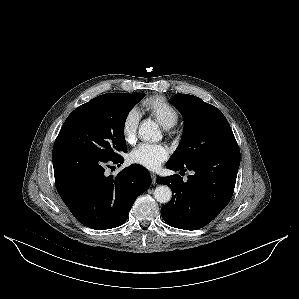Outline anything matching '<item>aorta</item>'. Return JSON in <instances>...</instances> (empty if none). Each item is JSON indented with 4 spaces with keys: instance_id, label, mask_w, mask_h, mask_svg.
Instances as JSON below:
<instances>
[{
    "instance_id": "obj_1",
    "label": "aorta",
    "mask_w": 299,
    "mask_h": 299,
    "mask_svg": "<svg viewBox=\"0 0 299 299\" xmlns=\"http://www.w3.org/2000/svg\"><path fill=\"white\" fill-rule=\"evenodd\" d=\"M140 139L144 141L157 142L162 138L161 131L158 125L151 120H146L141 123L138 130ZM172 191L166 185H159L154 191V198L159 203H168L171 200Z\"/></svg>"
}]
</instances>
